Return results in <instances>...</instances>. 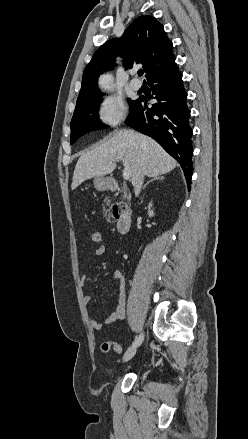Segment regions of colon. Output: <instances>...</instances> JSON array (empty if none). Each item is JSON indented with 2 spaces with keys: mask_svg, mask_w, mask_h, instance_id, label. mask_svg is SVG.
Instances as JSON below:
<instances>
[{
  "mask_svg": "<svg viewBox=\"0 0 248 439\" xmlns=\"http://www.w3.org/2000/svg\"><path fill=\"white\" fill-rule=\"evenodd\" d=\"M89 238L91 240V242L95 245H102V234L99 230H92L89 234ZM101 350L102 352H109L111 350H114L117 353H121L122 352V348L121 346L113 341H106L103 342L101 345Z\"/></svg>",
  "mask_w": 248,
  "mask_h": 439,
  "instance_id": "colon-1",
  "label": "colon"
}]
</instances>
